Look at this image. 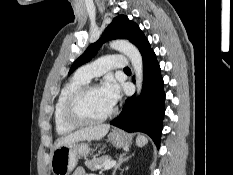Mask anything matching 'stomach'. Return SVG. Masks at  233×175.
Returning a JSON list of instances; mask_svg holds the SVG:
<instances>
[{"label": "stomach", "instance_id": "0dacf381", "mask_svg": "<svg viewBox=\"0 0 233 175\" xmlns=\"http://www.w3.org/2000/svg\"><path fill=\"white\" fill-rule=\"evenodd\" d=\"M108 140L117 148L127 147L130 137L121 131H113L108 135ZM87 143H72L55 148L51 155V170L54 175H69L77 165L79 156L89 153Z\"/></svg>", "mask_w": 233, "mask_h": 175}]
</instances>
